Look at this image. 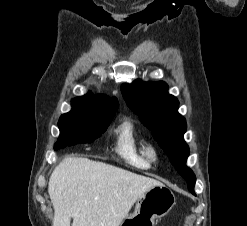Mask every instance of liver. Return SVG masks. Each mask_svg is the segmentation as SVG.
Masks as SVG:
<instances>
[{
  "label": "liver",
  "mask_w": 247,
  "mask_h": 226,
  "mask_svg": "<svg viewBox=\"0 0 247 226\" xmlns=\"http://www.w3.org/2000/svg\"><path fill=\"white\" fill-rule=\"evenodd\" d=\"M159 181L87 158L65 157L48 183L52 226H119L139 197Z\"/></svg>",
  "instance_id": "6515ba94"
}]
</instances>
